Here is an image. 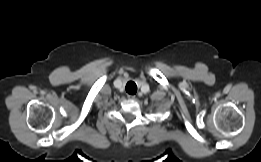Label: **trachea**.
Instances as JSON below:
<instances>
[{
    "mask_svg": "<svg viewBox=\"0 0 261 162\" xmlns=\"http://www.w3.org/2000/svg\"><path fill=\"white\" fill-rule=\"evenodd\" d=\"M126 92L131 94V95H134L136 94L137 92V86L134 82L132 81H129L127 84H126Z\"/></svg>",
    "mask_w": 261,
    "mask_h": 162,
    "instance_id": "obj_1",
    "label": "trachea"
}]
</instances>
